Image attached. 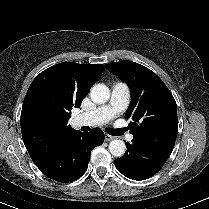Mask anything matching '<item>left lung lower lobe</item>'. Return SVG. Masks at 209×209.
<instances>
[{"mask_svg":"<svg viewBox=\"0 0 209 209\" xmlns=\"http://www.w3.org/2000/svg\"><path fill=\"white\" fill-rule=\"evenodd\" d=\"M126 142V154L115 160L117 170L132 180H145L155 175L170 156L174 143L152 142L134 137Z\"/></svg>","mask_w":209,"mask_h":209,"instance_id":"0a47b994","label":"left lung lower lobe"}]
</instances>
